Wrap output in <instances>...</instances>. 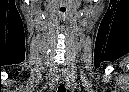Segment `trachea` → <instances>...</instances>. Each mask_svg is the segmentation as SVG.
<instances>
[{
  "label": "trachea",
  "mask_w": 129,
  "mask_h": 92,
  "mask_svg": "<svg viewBox=\"0 0 129 92\" xmlns=\"http://www.w3.org/2000/svg\"><path fill=\"white\" fill-rule=\"evenodd\" d=\"M58 92H66V89L63 84L58 87Z\"/></svg>",
  "instance_id": "trachea-1"
}]
</instances>
